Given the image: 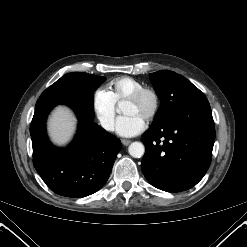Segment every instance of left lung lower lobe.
Masks as SVG:
<instances>
[{
  "mask_svg": "<svg viewBox=\"0 0 247 247\" xmlns=\"http://www.w3.org/2000/svg\"><path fill=\"white\" fill-rule=\"evenodd\" d=\"M215 128L208 102L152 123L143 134L146 151L141 169L150 184L167 192L195 186L212 158Z\"/></svg>",
  "mask_w": 247,
  "mask_h": 247,
  "instance_id": "obj_1",
  "label": "left lung lower lobe"
}]
</instances>
